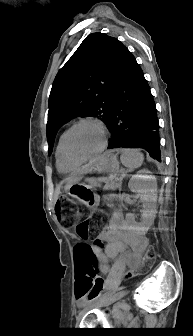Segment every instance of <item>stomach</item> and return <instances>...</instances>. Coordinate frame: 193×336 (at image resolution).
<instances>
[{
    "label": "stomach",
    "mask_w": 193,
    "mask_h": 336,
    "mask_svg": "<svg viewBox=\"0 0 193 336\" xmlns=\"http://www.w3.org/2000/svg\"><path fill=\"white\" fill-rule=\"evenodd\" d=\"M119 172V162L116 155L111 152L104 153L97 158L90 167L89 174H99L103 177H85L83 182L74 184L70 189V194L81 204L93 209L97 206L99 197L94 192L95 187L102 182L109 183Z\"/></svg>",
    "instance_id": "stomach-1"
}]
</instances>
